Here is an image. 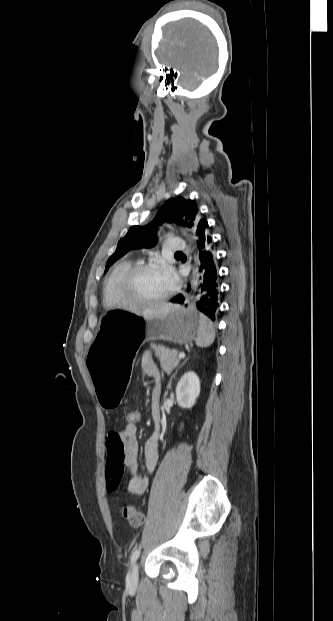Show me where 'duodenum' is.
Returning a JSON list of instances; mask_svg holds the SVG:
<instances>
[{"label":"duodenum","instance_id":"410a0bca","mask_svg":"<svg viewBox=\"0 0 333 621\" xmlns=\"http://www.w3.org/2000/svg\"><path fill=\"white\" fill-rule=\"evenodd\" d=\"M154 421H155L156 424L159 423V416L158 415L154 416Z\"/></svg>","mask_w":333,"mask_h":621}]
</instances>
